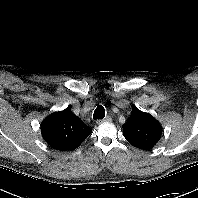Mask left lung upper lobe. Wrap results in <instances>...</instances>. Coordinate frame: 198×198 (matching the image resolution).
Instances as JSON below:
<instances>
[{
    "label": "left lung upper lobe",
    "mask_w": 198,
    "mask_h": 198,
    "mask_svg": "<svg viewBox=\"0 0 198 198\" xmlns=\"http://www.w3.org/2000/svg\"><path fill=\"white\" fill-rule=\"evenodd\" d=\"M162 126L149 113L138 108L132 109L126 124L123 125V135L126 140L139 149L153 148L162 135Z\"/></svg>",
    "instance_id": "1"
}]
</instances>
